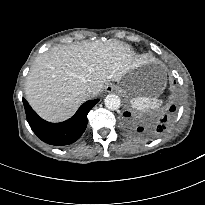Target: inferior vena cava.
I'll use <instances>...</instances> for the list:
<instances>
[{
    "instance_id": "obj_1",
    "label": "inferior vena cava",
    "mask_w": 205,
    "mask_h": 205,
    "mask_svg": "<svg viewBox=\"0 0 205 205\" xmlns=\"http://www.w3.org/2000/svg\"><path fill=\"white\" fill-rule=\"evenodd\" d=\"M87 92L88 93H92V90L90 88H88Z\"/></svg>"
}]
</instances>
